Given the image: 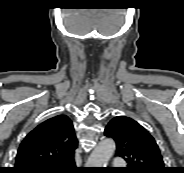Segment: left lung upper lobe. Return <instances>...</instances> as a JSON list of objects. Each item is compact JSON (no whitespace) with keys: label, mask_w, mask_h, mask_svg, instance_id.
Wrapping results in <instances>:
<instances>
[{"label":"left lung upper lobe","mask_w":184,"mask_h":173,"mask_svg":"<svg viewBox=\"0 0 184 173\" xmlns=\"http://www.w3.org/2000/svg\"><path fill=\"white\" fill-rule=\"evenodd\" d=\"M105 135L116 142V156L127 161L125 173L167 172L154 138L135 120L117 116L106 126Z\"/></svg>","instance_id":"5c2ea615"}]
</instances>
